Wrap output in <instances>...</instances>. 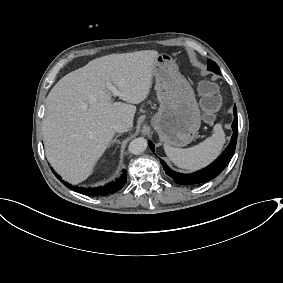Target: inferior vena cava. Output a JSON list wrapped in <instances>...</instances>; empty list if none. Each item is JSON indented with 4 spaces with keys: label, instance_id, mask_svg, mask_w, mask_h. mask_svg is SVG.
Masks as SVG:
<instances>
[{
    "label": "inferior vena cava",
    "instance_id": "1",
    "mask_svg": "<svg viewBox=\"0 0 283 283\" xmlns=\"http://www.w3.org/2000/svg\"><path fill=\"white\" fill-rule=\"evenodd\" d=\"M115 132L122 133L127 132L130 129V126L127 123H119L113 126Z\"/></svg>",
    "mask_w": 283,
    "mask_h": 283
}]
</instances>
